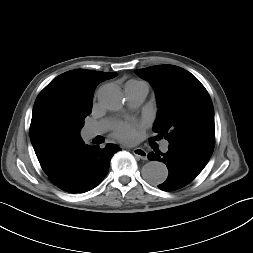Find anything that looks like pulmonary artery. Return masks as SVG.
<instances>
[{
  "label": "pulmonary artery",
  "mask_w": 253,
  "mask_h": 253,
  "mask_svg": "<svg viewBox=\"0 0 253 253\" xmlns=\"http://www.w3.org/2000/svg\"><path fill=\"white\" fill-rule=\"evenodd\" d=\"M148 93V86L145 83H129L125 86V97L130 107L139 106L145 99ZM109 125L108 120L89 125L84 129V136L87 139H91L105 131ZM168 141L162 143V150H168Z\"/></svg>",
  "instance_id": "pulmonary-artery-1"
}]
</instances>
